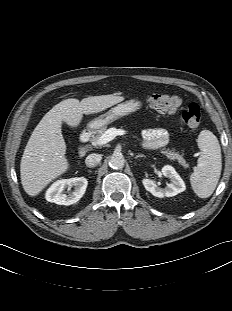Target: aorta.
I'll return each instance as SVG.
<instances>
[{"mask_svg":"<svg viewBox=\"0 0 232 311\" xmlns=\"http://www.w3.org/2000/svg\"><path fill=\"white\" fill-rule=\"evenodd\" d=\"M109 165L112 169H122L125 165V159L122 154H113L110 158Z\"/></svg>","mask_w":232,"mask_h":311,"instance_id":"1","label":"aorta"}]
</instances>
